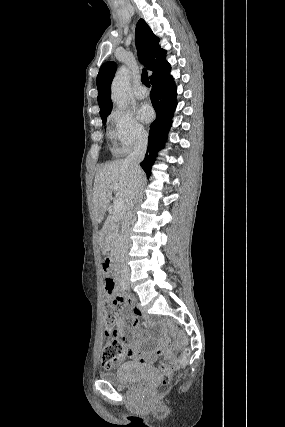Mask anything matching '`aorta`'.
Masks as SVG:
<instances>
[{"instance_id": "1", "label": "aorta", "mask_w": 285, "mask_h": 427, "mask_svg": "<svg viewBox=\"0 0 285 427\" xmlns=\"http://www.w3.org/2000/svg\"><path fill=\"white\" fill-rule=\"evenodd\" d=\"M130 92L129 69L122 66L117 71L111 86L112 101L120 108H125Z\"/></svg>"}]
</instances>
